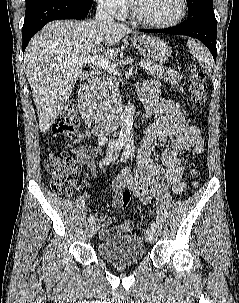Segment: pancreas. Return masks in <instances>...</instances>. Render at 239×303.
I'll return each instance as SVG.
<instances>
[{
    "label": "pancreas",
    "instance_id": "cf45deb5",
    "mask_svg": "<svg viewBox=\"0 0 239 303\" xmlns=\"http://www.w3.org/2000/svg\"><path fill=\"white\" fill-rule=\"evenodd\" d=\"M143 61L152 66V69H148L147 73L156 78L163 79L170 84H178L182 79V75L174 69L157 65L147 58H144ZM119 94V79L112 74L107 75L106 79L100 81L96 89V112L103 114L114 109L118 103Z\"/></svg>",
    "mask_w": 239,
    "mask_h": 303
}]
</instances>
